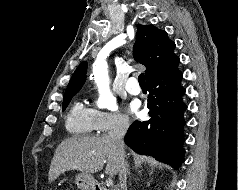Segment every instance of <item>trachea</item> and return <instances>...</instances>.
I'll return each instance as SVG.
<instances>
[{
  "label": "trachea",
  "mask_w": 238,
  "mask_h": 190,
  "mask_svg": "<svg viewBox=\"0 0 238 190\" xmlns=\"http://www.w3.org/2000/svg\"><path fill=\"white\" fill-rule=\"evenodd\" d=\"M138 82H139L141 87L146 86V82H145V78H144V74L143 73L139 75Z\"/></svg>",
  "instance_id": "trachea-1"
}]
</instances>
